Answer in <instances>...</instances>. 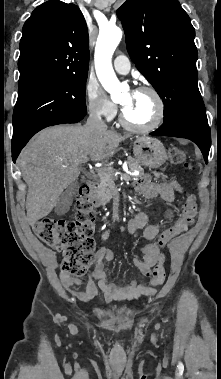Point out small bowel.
Wrapping results in <instances>:
<instances>
[{
	"mask_svg": "<svg viewBox=\"0 0 221 379\" xmlns=\"http://www.w3.org/2000/svg\"><path fill=\"white\" fill-rule=\"evenodd\" d=\"M137 191L145 198L152 199L160 197L166 202H172L176 192H182L180 185L174 181L151 182L147 177L142 178L136 184ZM161 226L159 224H149L148 216L143 212L136 213L129 221L127 230L130 234L139 231L143 232L146 240H154ZM110 231L106 229L101 236V241L108 239ZM159 256V246L155 242H150L142 248V258H135L134 265L144 277H149L153 266L157 263ZM115 259V253L107 247H100L95 253V259L89 268V274L86 279V289L84 291H75L74 287L81 284L78 277H74L66 272L60 274V279L66 290L75 298L82 302L92 301L101 290L107 302H131L138 300L144 295H152L154 291L144 284L132 280L128 285H120L109 279L107 272L103 267L102 261L112 262Z\"/></svg>",
	"mask_w": 221,
	"mask_h": 379,
	"instance_id": "small-bowel-1",
	"label": "small bowel"
}]
</instances>
